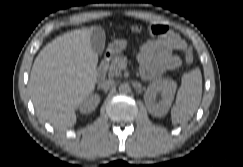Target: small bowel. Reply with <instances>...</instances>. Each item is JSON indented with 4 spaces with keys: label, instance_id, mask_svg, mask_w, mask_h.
I'll list each match as a JSON object with an SVG mask.
<instances>
[{
    "label": "small bowel",
    "instance_id": "1",
    "mask_svg": "<svg viewBox=\"0 0 243 167\" xmlns=\"http://www.w3.org/2000/svg\"><path fill=\"white\" fill-rule=\"evenodd\" d=\"M185 45L181 37L173 31L142 44L137 55L141 76L145 80H155L164 72L180 67V58L174 51L183 50Z\"/></svg>",
    "mask_w": 243,
    "mask_h": 167
}]
</instances>
